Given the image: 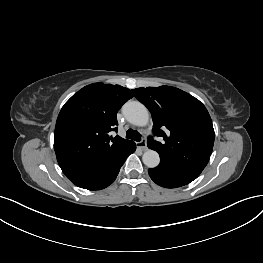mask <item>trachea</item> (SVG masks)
I'll return each instance as SVG.
<instances>
[{
  "mask_svg": "<svg viewBox=\"0 0 263 263\" xmlns=\"http://www.w3.org/2000/svg\"><path fill=\"white\" fill-rule=\"evenodd\" d=\"M126 138L139 142L141 140V134L133 129H128L126 132Z\"/></svg>",
  "mask_w": 263,
  "mask_h": 263,
  "instance_id": "3493384b",
  "label": "trachea"
}]
</instances>
